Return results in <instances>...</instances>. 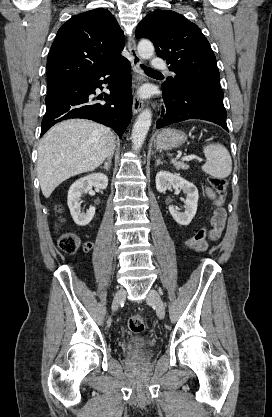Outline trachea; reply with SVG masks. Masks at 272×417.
<instances>
[{"instance_id":"1","label":"trachea","mask_w":272,"mask_h":417,"mask_svg":"<svg viewBox=\"0 0 272 417\" xmlns=\"http://www.w3.org/2000/svg\"><path fill=\"white\" fill-rule=\"evenodd\" d=\"M141 67L144 69V71L146 73H159L158 71H155V70H153L151 68H148V67H145V66H142V65H141Z\"/></svg>"}]
</instances>
